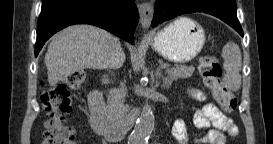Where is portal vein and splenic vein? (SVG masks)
I'll return each mask as SVG.
<instances>
[{"instance_id": "portal-vein-and-splenic-vein-1", "label": "portal vein and splenic vein", "mask_w": 273, "mask_h": 144, "mask_svg": "<svg viewBox=\"0 0 273 144\" xmlns=\"http://www.w3.org/2000/svg\"><path fill=\"white\" fill-rule=\"evenodd\" d=\"M167 67H168L167 64H161V65H160V68H161V69H167Z\"/></svg>"}]
</instances>
